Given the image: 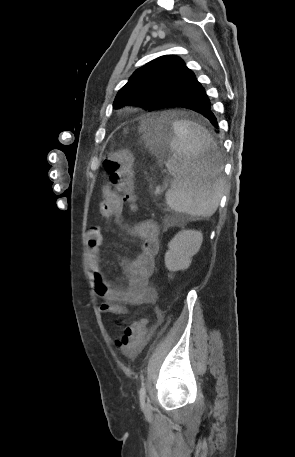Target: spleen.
Instances as JSON below:
<instances>
[{
    "mask_svg": "<svg viewBox=\"0 0 295 457\" xmlns=\"http://www.w3.org/2000/svg\"><path fill=\"white\" fill-rule=\"evenodd\" d=\"M175 140L171 142L172 157L166 167L174 179L166 192L168 206L179 213L210 217L217 210L224 190V180L218 176L220 153L210 133L187 120L173 122ZM215 151L213 162L203 155Z\"/></svg>",
    "mask_w": 295,
    "mask_h": 457,
    "instance_id": "obj_1",
    "label": "spleen"
}]
</instances>
